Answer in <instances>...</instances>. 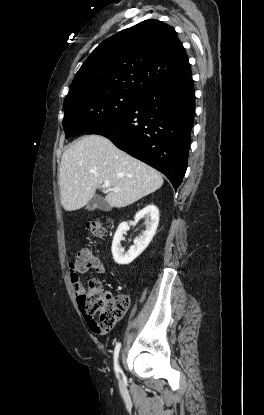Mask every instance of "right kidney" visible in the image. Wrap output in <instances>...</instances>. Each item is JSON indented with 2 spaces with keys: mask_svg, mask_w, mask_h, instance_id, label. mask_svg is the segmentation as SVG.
<instances>
[{
  "mask_svg": "<svg viewBox=\"0 0 264 415\" xmlns=\"http://www.w3.org/2000/svg\"><path fill=\"white\" fill-rule=\"evenodd\" d=\"M142 218L146 219V230L142 233V235L134 240V245L130 247L128 252H125L120 243L123 238V233L130 227L127 222H122L118 226L113 237L111 248L113 259L117 264L127 265L131 263L147 248L149 243L152 241L159 223L158 208L153 204L146 206L135 215L136 221H139Z\"/></svg>",
  "mask_w": 264,
  "mask_h": 415,
  "instance_id": "1",
  "label": "right kidney"
}]
</instances>
